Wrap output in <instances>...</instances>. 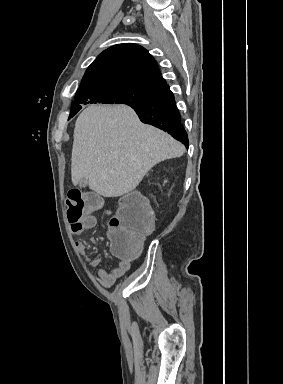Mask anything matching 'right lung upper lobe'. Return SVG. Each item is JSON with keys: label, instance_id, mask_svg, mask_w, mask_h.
Returning a JSON list of instances; mask_svg holds the SVG:
<instances>
[{"label": "right lung upper lobe", "instance_id": "right-lung-upper-lobe-1", "mask_svg": "<svg viewBox=\"0 0 283 384\" xmlns=\"http://www.w3.org/2000/svg\"><path fill=\"white\" fill-rule=\"evenodd\" d=\"M108 83L157 92L166 81L146 49L136 44H119L95 59L86 70L79 89Z\"/></svg>", "mask_w": 283, "mask_h": 384}]
</instances>
